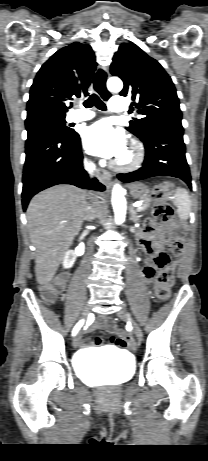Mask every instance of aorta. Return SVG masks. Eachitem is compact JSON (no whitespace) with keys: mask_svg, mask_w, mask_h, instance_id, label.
<instances>
[{"mask_svg":"<svg viewBox=\"0 0 208 461\" xmlns=\"http://www.w3.org/2000/svg\"><path fill=\"white\" fill-rule=\"evenodd\" d=\"M107 88L111 92H120L123 88L122 81L117 77H111L107 81ZM112 206L115 222L121 224L126 217L125 190L119 184H115L112 189Z\"/></svg>","mask_w":208,"mask_h":461,"instance_id":"obj_1","label":"aorta"}]
</instances>
